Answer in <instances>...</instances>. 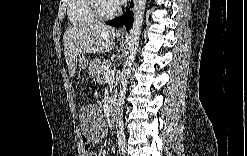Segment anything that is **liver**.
<instances>
[{
    "label": "liver",
    "instance_id": "obj_1",
    "mask_svg": "<svg viewBox=\"0 0 247 156\" xmlns=\"http://www.w3.org/2000/svg\"><path fill=\"white\" fill-rule=\"evenodd\" d=\"M116 29L102 24L69 27L63 37L69 74L74 76L77 57L85 53H107L114 47Z\"/></svg>",
    "mask_w": 247,
    "mask_h": 156
}]
</instances>
